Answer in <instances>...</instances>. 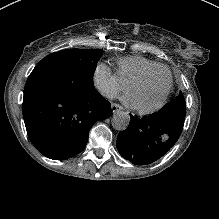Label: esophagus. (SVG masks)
Masks as SVG:
<instances>
[{
  "label": "esophagus",
  "mask_w": 219,
  "mask_h": 219,
  "mask_svg": "<svg viewBox=\"0 0 219 219\" xmlns=\"http://www.w3.org/2000/svg\"><path fill=\"white\" fill-rule=\"evenodd\" d=\"M111 108H112L113 112H116V111L122 109V107L119 104H117V103H112L111 104Z\"/></svg>",
  "instance_id": "34e87169"
}]
</instances>
